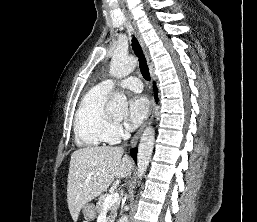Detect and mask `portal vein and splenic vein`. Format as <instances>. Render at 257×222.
Masks as SVG:
<instances>
[{"label":"portal vein and splenic vein","mask_w":257,"mask_h":222,"mask_svg":"<svg viewBox=\"0 0 257 222\" xmlns=\"http://www.w3.org/2000/svg\"><path fill=\"white\" fill-rule=\"evenodd\" d=\"M119 200V194L118 193H113L111 195H108L106 198H105V201L103 203V207L104 208H108L109 206L117 203Z\"/></svg>","instance_id":"portal-vein-and-splenic-vein-1"}]
</instances>
